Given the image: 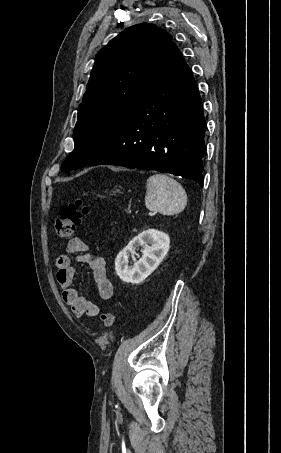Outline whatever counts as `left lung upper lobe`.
I'll return each instance as SVG.
<instances>
[{
  "label": "left lung upper lobe",
  "instance_id": "5c2ea615",
  "mask_svg": "<svg viewBox=\"0 0 281 453\" xmlns=\"http://www.w3.org/2000/svg\"><path fill=\"white\" fill-rule=\"evenodd\" d=\"M174 43L166 31L143 23L125 29L103 49L78 108L74 150L61 167L87 166L114 139L167 61Z\"/></svg>",
  "mask_w": 281,
  "mask_h": 453
}]
</instances>
